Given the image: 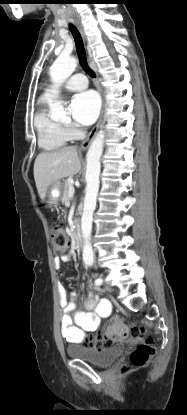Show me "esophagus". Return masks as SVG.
<instances>
[{
	"instance_id": "1",
	"label": "esophagus",
	"mask_w": 187,
	"mask_h": 415,
	"mask_svg": "<svg viewBox=\"0 0 187 415\" xmlns=\"http://www.w3.org/2000/svg\"><path fill=\"white\" fill-rule=\"evenodd\" d=\"M77 26H78V29L80 30V33H81L82 37L85 38L84 33H83L80 25L78 24ZM104 110H105V101L103 100L102 108H101V112H100V116H99V120H98L97 124L95 125V127L90 132V134L87 137V139L82 142V144H81V148L82 149H86L90 145L92 139L94 138L96 132L98 131V129H99L100 125H101L102 119H103Z\"/></svg>"
}]
</instances>
